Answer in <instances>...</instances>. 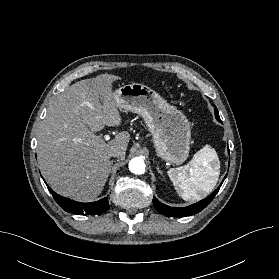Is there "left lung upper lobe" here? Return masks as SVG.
<instances>
[{"mask_svg":"<svg viewBox=\"0 0 279 279\" xmlns=\"http://www.w3.org/2000/svg\"><path fill=\"white\" fill-rule=\"evenodd\" d=\"M214 112H215V116H216L217 120H220L218 110L216 109V107L214 108Z\"/></svg>","mask_w":279,"mask_h":279,"instance_id":"1","label":"left lung upper lobe"}]
</instances>
